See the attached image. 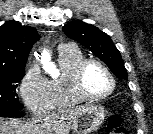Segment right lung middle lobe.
Segmentation results:
<instances>
[{"instance_id":"1","label":"right lung middle lobe","mask_w":153,"mask_h":134,"mask_svg":"<svg viewBox=\"0 0 153 134\" xmlns=\"http://www.w3.org/2000/svg\"><path fill=\"white\" fill-rule=\"evenodd\" d=\"M25 75V69L0 70V109L21 110L16 88Z\"/></svg>"}]
</instances>
